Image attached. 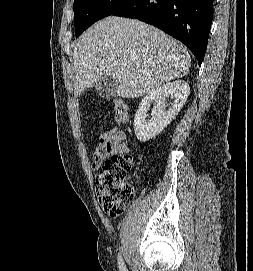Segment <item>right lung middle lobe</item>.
I'll return each instance as SVG.
<instances>
[{"label": "right lung middle lobe", "mask_w": 253, "mask_h": 271, "mask_svg": "<svg viewBox=\"0 0 253 271\" xmlns=\"http://www.w3.org/2000/svg\"><path fill=\"white\" fill-rule=\"evenodd\" d=\"M128 0H75V34L79 36L94 22L115 13Z\"/></svg>", "instance_id": "right-lung-middle-lobe-1"}]
</instances>
